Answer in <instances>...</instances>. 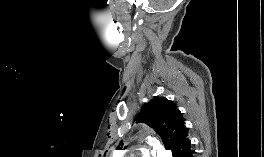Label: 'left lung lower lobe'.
Returning <instances> with one entry per match:
<instances>
[{"label":"left lung lower lobe","mask_w":264,"mask_h":157,"mask_svg":"<svg viewBox=\"0 0 264 157\" xmlns=\"http://www.w3.org/2000/svg\"><path fill=\"white\" fill-rule=\"evenodd\" d=\"M194 150L191 148V142L189 139L181 143L173 152V157H195Z\"/></svg>","instance_id":"0a47b994"}]
</instances>
